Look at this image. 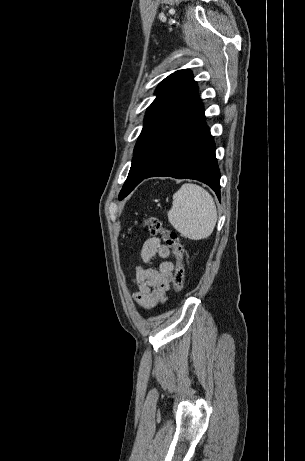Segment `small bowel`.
<instances>
[{
	"label": "small bowel",
	"instance_id": "1",
	"mask_svg": "<svg viewBox=\"0 0 305 461\" xmlns=\"http://www.w3.org/2000/svg\"><path fill=\"white\" fill-rule=\"evenodd\" d=\"M140 256L145 266H137L132 278L133 298L145 310H151L165 303L173 276L174 264L169 260L170 249L158 237L147 239L142 245ZM161 259L157 268L153 267Z\"/></svg>",
	"mask_w": 305,
	"mask_h": 461
}]
</instances>
